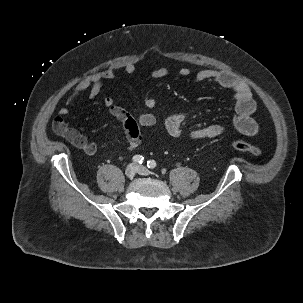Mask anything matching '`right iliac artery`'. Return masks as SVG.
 Segmentation results:
<instances>
[{
    "label": "right iliac artery",
    "instance_id": "82829eb1",
    "mask_svg": "<svg viewBox=\"0 0 303 303\" xmlns=\"http://www.w3.org/2000/svg\"><path fill=\"white\" fill-rule=\"evenodd\" d=\"M133 162L137 163V164H141L144 160V157L141 155H135L132 158Z\"/></svg>",
    "mask_w": 303,
    "mask_h": 303
}]
</instances>
